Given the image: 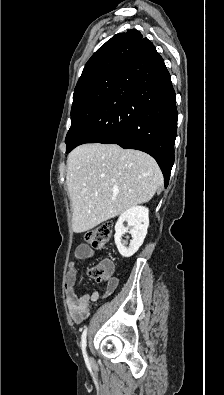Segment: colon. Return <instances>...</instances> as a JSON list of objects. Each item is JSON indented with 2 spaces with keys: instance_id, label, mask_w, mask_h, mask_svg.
I'll list each match as a JSON object with an SVG mask.
<instances>
[{
  "instance_id": "colon-1",
  "label": "colon",
  "mask_w": 224,
  "mask_h": 395,
  "mask_svg": "<svg viewBox=\"0 0 224 395\" xmlns=\"http://www.w3.org/2000/svg\"><path fill=\"white\" fill-rule=\"evenodd\" d=\"M113 232L111 224L99 225L85 234V239L88 244L95 249H103L108 243ZM111 264L103 261L88 270V274L97 282L107 280L112 273Z\"/></svg>"
}]
</instances>
